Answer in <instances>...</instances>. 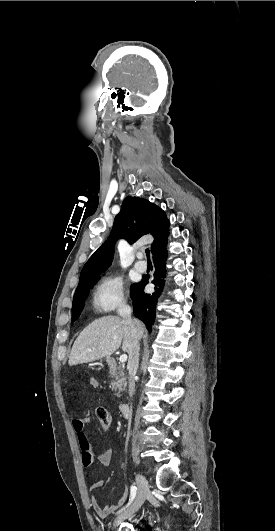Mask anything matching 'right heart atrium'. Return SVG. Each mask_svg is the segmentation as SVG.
<instances>
[{
  "mask_svg": "<svg viewBox=\"0 0 275 531\" xmlns=\"http://www.w3.org/2000/svg\"><path fill=\"white\" fill-rule=\"evenodd\" d=\"M93 303L99 311H112L123 303L122 279L108 275L101 278L95 286Z\"/></svg>",
  "mask_w": 275,
  "mask_h": 531,
  "instance_id": "1",
  "label": "right heart atrium"
}]
</instances>
